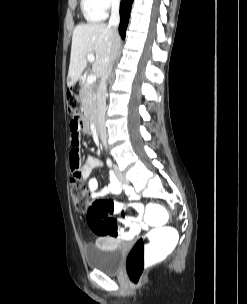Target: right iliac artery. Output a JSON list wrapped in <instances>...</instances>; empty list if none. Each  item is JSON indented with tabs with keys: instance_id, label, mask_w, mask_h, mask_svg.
Masks as SVG:
<instances>
[{
	"instance_id": "1",
	"label": "right iliac artery",
	"mask_w": 247,
	"mask_h": 304,
	"mask_svg": "<svg viewBox=\"0 0 247 304\" xmlns=\"http://www.w3.org/2000/svg\"><path fill=\"white\" fill-rule=\"evenodd\" d=\"M106 163H107V166L110 168L113 166L112 161L110 159H107ZM112 175H114V173H112Z\"/></svg>"
}]
</instances>
